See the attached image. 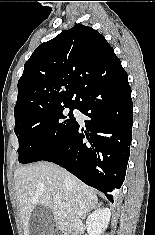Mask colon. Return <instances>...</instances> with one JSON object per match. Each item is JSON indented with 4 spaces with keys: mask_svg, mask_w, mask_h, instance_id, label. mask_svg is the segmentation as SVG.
<instances>
[{
    "mask_svg": "<svg viewBox=\"0 0 155 235\" xmlns=\"http://www.w3.org/2000/svg\"><path fill=\"white\" fill-rule=\"evenodd\" d=\"M52 235H60L59 233H53Z\"/></svg>",
    "mask_w": 155,
    "mask_h": 235,
    "instance_id": "colon-1",
    "label": "colon"
}]
</instances>
